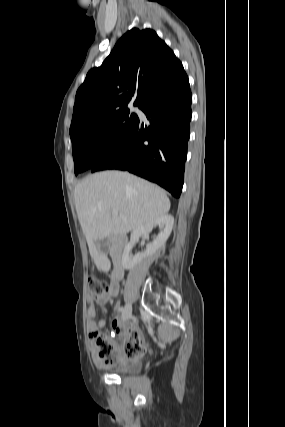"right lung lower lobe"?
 <instances>
[{
    "mask_svg": "<svg viewBox=\"0 0 285 427\" xmlns=\"http://www.w3.org/2000/svg\"><path fill=\"white\" fill-rule=\"evenodd\" d=\"M191 102L189 80L181 68L151 88L138 104L149 125L144 127L138 118L123 143L92 172L127 170L179 198L190 137Z\"/></svg>",
    "mask_w": 285,
    "mask_h": 427,
    "instance_id": "98d812e1",
    "label": "right lung lower lobe"
}]
</instances>
